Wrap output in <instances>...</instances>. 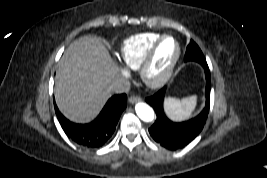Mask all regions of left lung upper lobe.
Wrapping results in <instances>:
<instances>
[{"label":"left lung upper lobe","instance_id":"1","mask_svg":"<svg viewBox=\"0 0 267 178\" xmlns=\"http://www.w3.org/2000/svg\"><path fill=\"white\" fill-rule=\"evenodd\" d=\"M184 59L186 62L196 61L202 66H208L202 51L193 40H191L190 44L187 46Z\"/></svg>","mask_w":267,"mask_h":178}]
</instances>
